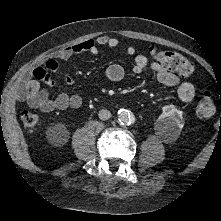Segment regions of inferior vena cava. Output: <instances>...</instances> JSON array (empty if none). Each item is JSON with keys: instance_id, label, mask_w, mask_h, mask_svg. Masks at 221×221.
<instances>
[{"instance_id": "602c4592", "label": "inferior vena cava", "mask_w": 221, "mask_h": 221, "mask_svg": "<svg viewBox=\"0 0 221 221\" xmlns=\"http://www.w3.org/2000/svg\"><path fill=\"white\" fill-rule=\"evenodd\" d=\"M98 116L101 120H108L111 118V112L109 110L102 109L99 111Z\"/></svg>"}]
</instances>
